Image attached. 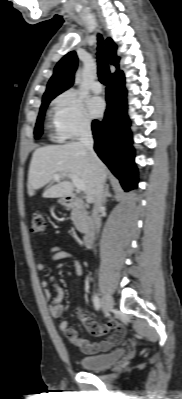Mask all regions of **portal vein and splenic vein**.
Returning <instances> with one entry per match:
<instances>
[{
    "mask_svg": "<svg viewBox=\"0 0 182 399\" xmlns=\"http://www.w3.org/2000/svg\"><path fill=\"white\" fill-rule=\"evenodd\" d=\"M62 176H67L72 180L73 185L77 188V190L79 191H85V184L84 182L79 179L77 176L73 175V174H68V173H56L53 175V178L55 180H59L60 177Z\"/></svg>",
    "mask_w": 182,
    "mask_h": 399,
    "instance_id": "1",
    "label": "portal vein and splenic vein"
}]
</instances>
